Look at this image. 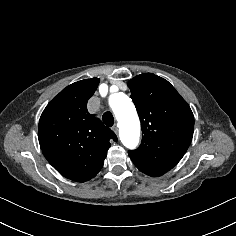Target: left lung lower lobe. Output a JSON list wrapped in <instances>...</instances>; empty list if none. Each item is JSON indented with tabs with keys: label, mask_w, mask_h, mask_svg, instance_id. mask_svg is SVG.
<instances>
[{
	"label": "left lung lower lobe",
	"mask_w": 236,
	"mask_h": 236,
	"mask_svg": "<svg viewBox=\"0 0 236 236\" xmlns=\"http://www.w3.org/2000/svg\"><path fill=\"white\" fill-rule=\"evenodd\" d=\"M142 172L149 175V176H152V177L161 176L164 174L163 172H159V171H155V170H145Z\"/></svg>",
	"instance_id": "1"
}]
</instances>
